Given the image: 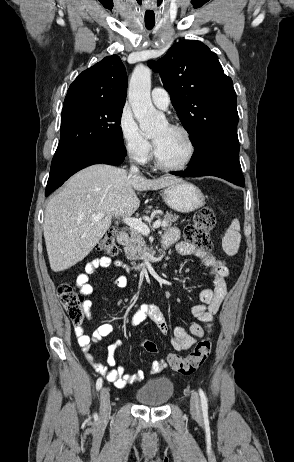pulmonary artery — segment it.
<instances>
[{
	"mask_svg": "<svg viewBox=\"0 0 294 462\" xmlns=\"http://www.w3.org/2000/svg\"><path fill=\"white\" fill-rule=\"evenodd\" d=\"M151 99L154 105L160 109H167L170 104L169 93L162 87L152 89Z\"/></svg>",
	"mask_w": 294,
	"mask_h": 462,
	"instance_id": "pulmonary-artery-1",
	"label": "pulmonary artery"
}]
</instances>
